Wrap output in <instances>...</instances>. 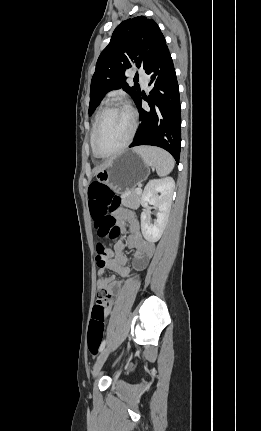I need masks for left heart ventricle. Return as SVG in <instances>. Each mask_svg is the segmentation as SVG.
<instances>
[{
	"label": "left heart ventricle",
	"mask_w": 261,
	"mask_h": 431,
	"mask_svg": "<svg viewBox=\"0 0 261 431\" xmlns=\"http://www.w3.org/2000/svg\"><path fill=\"white\" fill-rule=\"evenodd\" d=\"M131 129V118L123 108H114L104 117L98 135L101 152L110 153L119 148L127 139Z\"/></svg>",
	"instance_id": "left-heart-ventricle-1"
}]
</instances>
